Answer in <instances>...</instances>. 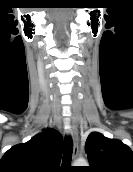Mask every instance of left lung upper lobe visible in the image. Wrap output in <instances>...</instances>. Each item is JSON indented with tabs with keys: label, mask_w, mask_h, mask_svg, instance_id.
I'll return each instance as SVG.
<instances>
[{
	"label": "left lung upper lobe",
	"mask_w": 133,
	"mask_h": 172,
	"mask_svg": "<svg viewBox=\"0 0 133 172\" xmlns=\"http://www.w3.org/2000/svg\"><path fill=\"white\" fill-rule=\"evenodd\" d=\"M90 166L86 172H133V152L119 140L92 132L85 144Z\"/></svg>",
	"instance_id": "obj_1"
}]
</instances>
